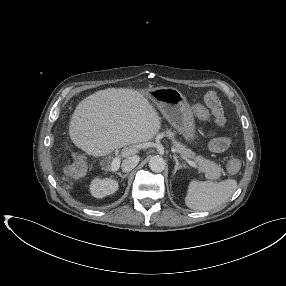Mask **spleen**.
Segmentation results:
<instances>
[{
	"label": "spleen",
	"instance_id": "spleen-1",
	"mask_svg": "<svg viewBox=\"0 0 286 286\" xmlns=\"http://www.w3.org/2000/svg\"><path fill=\"white\" fill-rule=\"evenodd\" d=\"M236 189L237 182L233 179L218 183L192 180L188 185L185 204L197 211L212 210L224 204Z\"/></svg>",
	"mask_w": 286,
	"mask_h": 286
}]
</instances>
